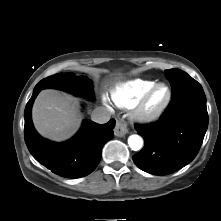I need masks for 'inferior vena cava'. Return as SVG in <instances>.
Instances as JSON below:
<instances>
[{
  "label": "inferior vena cava",
  "instance_id": "1",
  "mask_svg": "<svg viewBox=\"0 0 221 221\" xmlns=\"http://www.w3.org/2000/svg\"><path fill=\"white\" fill-rule=\"evenodd\" d=\"M110 113L103 107H97L92 111L91 119L99 124L107 123L110 120Z\"/></svg>",
  "mask_w": 221,
  "mask_h": 221
}]
</instances>
